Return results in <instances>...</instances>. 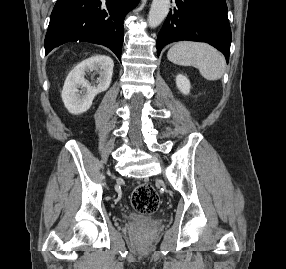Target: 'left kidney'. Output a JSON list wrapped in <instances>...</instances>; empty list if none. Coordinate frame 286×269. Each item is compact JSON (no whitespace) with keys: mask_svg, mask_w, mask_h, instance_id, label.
<instances>
[{"mask_svg":"<svg viewBox=\"0 0 286 269\" xmlns=\"http://www.w3.org/2000/svg\"><path fill=\"white\" fill-rule=\"evenodd\" d=\"M176 85L177 88L180 90V92H182L184 95H188L190 92V81L187 77H185L184 75H177L176 76Z\"/></svg>","mask_w":286,"mask_h":269,"instance_id":"5707ae66","label":"left kidney"}]
</instances>
